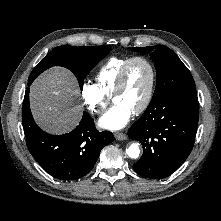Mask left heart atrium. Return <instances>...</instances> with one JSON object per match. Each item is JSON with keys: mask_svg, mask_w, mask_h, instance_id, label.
<instances>
[{"mask_svg": "<svg viewBox=\"0 0 221 221\" xmlns=\"http://www.w3.org/2000/svg\"><path fill=\"white\" fill-rule=\"evenodd\" d=\"M132 113L123 104L116 103L99 119V126L108 130H119L130 121Z\"/></svg>", "mask_w": 221, "mask_h": 221, "instance_id": "left-heart-atrium-1", "label": "left heart atrium"}]
</instances>
